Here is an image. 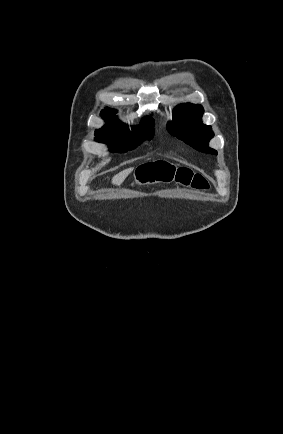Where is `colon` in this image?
<instances>
[{"mask_svg": "<svg viewBox=\"0 0 283 434\" xmlns=\"http://www.w3.org/2000/svg\"><path fill=\"white\" fill-rule=\"evenodd\" d=\"M136 179L142 185L176 181L198 190H206L209 187L204 175L188 168L174 167L166 162H151L140 166Z\"/></svg>", "mask_w": 283, "mask_h": 434, "instance_id": "5ec220e1", "label": "colon"}]
</instances>
